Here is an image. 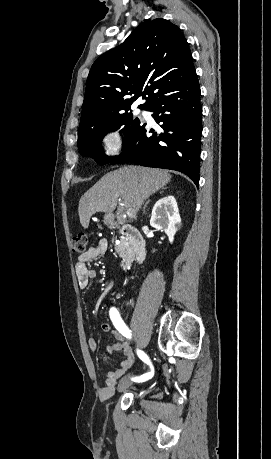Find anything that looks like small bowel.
I'll return each mask as SVG.
<instances>
[{
    "label": "small bowel",
    "mask_w": 271,
    "mask_h": 459,
    "mask_svg": "<svg viewBox=\"0 0 271 459\" xmlns=\"http://www.w3.org/2000/svg\"><path fill=\"white\" fill-rule=\"evenodd\" d=\"M108 250V241L105 238L100 239L96 245L90 247L87 251L82 253L75 266L77 281L80 289L87 288L89 281L95 277V270L89 268L88 263L106 254ZM101 329L104 332L111 331V325L108 322L101 324ZM114 342L107 346L108 353L120 352L124 356V360L120 363L119 367L108 372L105 383L99 388L98 394L102 399L109 398L114 393L118 380H120L130 370L134 363L133 351L123 336L118 330H112ZM88 347L91 351H96L98 343L95 338L88 339Z\"/></svg>",
    "instance_id": "1"
}]
</instances>
